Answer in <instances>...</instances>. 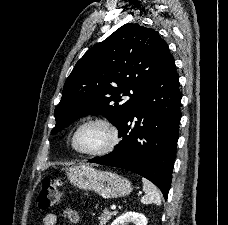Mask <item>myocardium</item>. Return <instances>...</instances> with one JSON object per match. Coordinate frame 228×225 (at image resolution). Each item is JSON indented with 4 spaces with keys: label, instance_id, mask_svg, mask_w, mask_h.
<instances>
[{
    "label": "myocardium",
    "instance_id": "f54148a6",
    "mask_svg": "<svg viewBox=\"0 0 228 225\" xmlns=\"http://www.w3.org/2000/svg\"><path fill=\"white\" fill-rule=\"evenodd\" d=\"M88 125H99L103 127L108 134V142L104 148L96 150H81L75 146V136ZM120 134L118 128L110 120L103 117H88L78 122L68 133L66 137V146L68 150L77 156L84 157H103L111 154L119 145Z\"/></svg>",
    "mask_w": 228,
    "mask_h": 225
}]
</instances>
